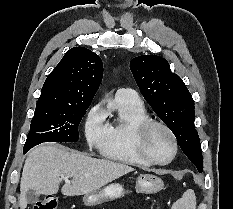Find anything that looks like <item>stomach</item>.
I'll return each mask as SVG.
<instances>
[{"label": "stomach", "instance_id": "1", "mask_svg": "<svg viewBox=\"0 0 233 209\" xmlns=\"http://www.w3.org/2000/svg\"><path fill=\"white\" fill-rule=\"evenodd\" d=\"M164 186L161 178L156 175L140 174L136 180V191L146 194L159 192ZM125 194L124 188L119 183H112L95 192L85 194L83 202L86 206H97L104 202L121 198Z\"/></svg>", "mask_w": 233, "mask_h": 209}]
</instances>
